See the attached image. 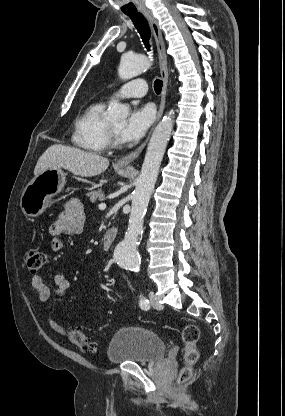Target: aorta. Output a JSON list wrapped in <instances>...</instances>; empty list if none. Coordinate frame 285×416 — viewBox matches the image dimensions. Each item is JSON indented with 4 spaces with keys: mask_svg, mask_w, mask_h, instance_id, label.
<instances>
[{
    "mask_svg": "<svg viewBox=\"0 0 285 416\" xmlns=\"http://www.w3.org/2000/svg\"><path fill=\"white\" fill-rule=\"evenodd\" d=\"M151 61L144 55H124L121 58L118 74L129 80L148 70ZM128 107L111 102L106 113L109 121H123L128 116ZM173 112L165 115L156 126L147 147L141 173L132 195L129 225L123 241L115 248L114 257L118 265L133 272H139L141 258L137 246L142 234L144 215L157 181L159 168L173 128Z\"/></svg>",
    "mask_w": 285,
    "mask_h": 416,
    "instance_id": "762f6f07",
    "label": "aorta"
}]
</instances>
